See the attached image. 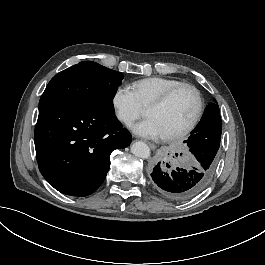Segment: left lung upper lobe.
<instances>
[{
    "label": "left lung upper lobe",
    "mask_w": 265,
    "mask_h": 265,
    "mask_svg": "<svg viewBox=\"0 0 265 265\" xmlns=\"http://www.w3.org/2000/svg\"><path fill=\"white\" fill-rule=\"evenodd\" d=\"M221 133L222 121L220 117V110L216 102L215 104H210L207 106L201 121L192 131L191 136H197L193 138L190 136L187 141H201L208 143L210 147H218L220 145Z\"/></svg>",
    "instance_id": "5c2ea615"
}]
</instances>
